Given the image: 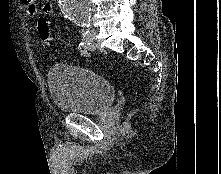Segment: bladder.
Returning a JSON list of instances; mask_svg holds the SVG:
<instances>
[{
	"label": "bladder",
	"instance_id": "1",
	"mask_svg": "<svg viewBox=\"0 0 221 174\" xmlns=\"http://www.w3.org/2000/svg\"><path fill=\"white\" fill-rule=\"evenodd\" d=\"M47 84L55 107L67 114H99L115 99L107 79L79 66L54 65L48 71Z\"/></svg>",
	"mask_w": 221,
	"mask_h": 174
}]
</instances>
